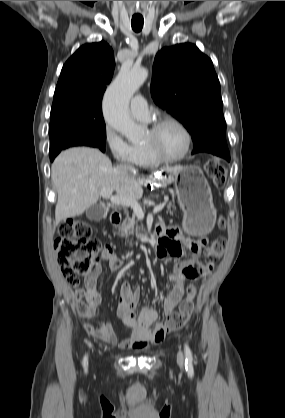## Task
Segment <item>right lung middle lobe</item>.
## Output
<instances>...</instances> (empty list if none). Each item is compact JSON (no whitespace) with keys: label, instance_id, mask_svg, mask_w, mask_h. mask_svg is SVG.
Returning a JSON list of instances; mask_svg holds the SVG:
<instances>
[{"label":"right lung middle lobe","instance_id":"right-lung-middle-lobe-1","mask_svg":"<svg viewBox=\"0 0 285 418\" xmlns=\"http://www.w3.org/2000/svg\"><path fill=\"white\" fill-rule=\"evenodd\" d=\"M49 136L50 157L72 146H92L104 152L106 125L101 106L52 105Z\"/></svg>","mask_w":285,"mask_h":418}]
</instances>
